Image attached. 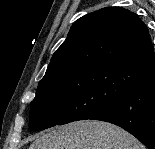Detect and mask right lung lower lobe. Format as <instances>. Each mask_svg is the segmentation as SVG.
<instances>
[{
	"mask_svg": "<svg viewBox=\"0 0 155 149\" xmlns=\"http://www.w3.org/2000/svg\"><path fill=\"white\" fill-rule=\"evenodd\" d=\"M122 127L155 149V76L147 78L89 118Z\"/></svg>",
	"mask_w": 155,
	"mask_h": 149,
	"instance_id": "98d812e1",
	"label": "right lung lower lobe"
}]
</instances>
